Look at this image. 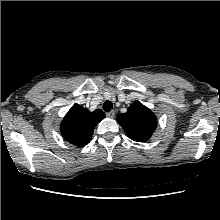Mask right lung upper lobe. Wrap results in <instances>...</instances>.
<instances>
[{
	"instance_id": "obj_1",
	"label": "right lung upper lobe",
	"mask_w": 220,
	"mask_h": 220,
	"mask_svg": "<svg viewBox=\"0 0 220 220\" xmlns=\"http://www.w3.org/2000/svg\"><path fill=\"white\" fill-rule=\"evenodd\" d=\"M104 117L105 114L99 109L89 112L74 104L61 123V134L71 144L83 147L91 140L94 128Z\"/></svg>"
}]
</instances>
